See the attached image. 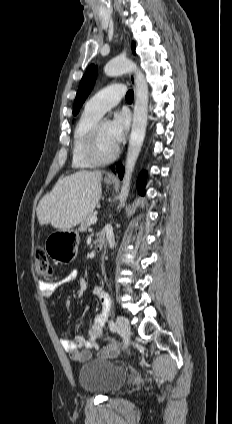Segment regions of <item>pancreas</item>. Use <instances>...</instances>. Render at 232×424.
<instances>
[{
    "label": "pancreas",
    "mask_w": 232,
    "mask_h": 424,
    "mask_svg": "<svg viewBox=\"0 0 232 424\" xmlns=\"http://www.w3.org/2000/svg\"><path fill=\"white\" fill-rule=\"evenodd\" d=\"M94 216H96V214L94 213V212H92V213H90L87 217H85L84 219H83V221L81 222V225H80V228H79V230L81 231V232H85V231H87V229L90 227V225H91V223H90V219L92 218V217H94Z\"/></svg>",
    "instance_id": "cf45deb5"
}]
</instances>
